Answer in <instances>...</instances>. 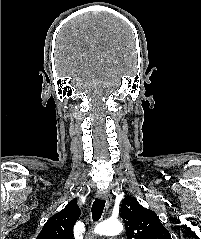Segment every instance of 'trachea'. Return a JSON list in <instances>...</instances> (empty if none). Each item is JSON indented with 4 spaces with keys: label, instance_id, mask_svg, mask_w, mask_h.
<instances>
[{
    "label": "trachea",
    "instance_id": "3493384b",
    "mask_svg": "<svg viewBox=\"0 0 201 239\" xmlns=\"http://www.w3.org/2000/svg\"><path fill=\"white\" fill-rule=\"evenodd\" d=\"M104 207L105 200L96 198L91 208L93 221H98L101 218Z\"/></svg>",
    "mask_w": 201,
    "mask_h": 239
}]
</instances>
